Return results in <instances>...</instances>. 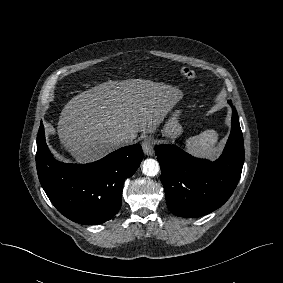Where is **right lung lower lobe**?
Masks as SVG:
<instances>
[{
    "label": "right lung lower lobe",
    "mask_w": 283,
    "mask_h": 283,
    "mask_svg": "<svg viewBox=\"0 0 283 283\" xmlns=\"http://www.w3.org/2000/svg\"><path fill=\"white\" fill-rule=\"evenodd\" d=\"M142 160V148L135 144L93 163L65 164L50 153L42 124L38 131L36 166L41 186L60 213L80 224H100L118 212L123 183Z\"/></svg>",
    "instance_id": "98d812e1"
}]
</instances>
